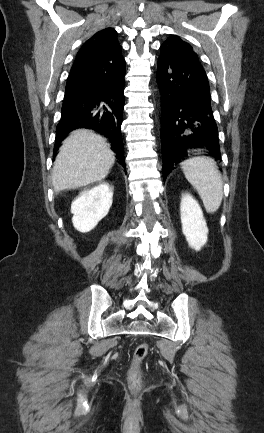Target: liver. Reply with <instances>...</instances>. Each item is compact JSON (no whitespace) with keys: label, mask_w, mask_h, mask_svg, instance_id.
Wrapping results in <instances>:
<instances>
[{"label":"liver","mask_w":264,"mask_h":433,"mask_svg":"<svg viewBox=\"0 0 264 433\" xmlns=\"http://www.w3.org/2000/svg\"><path fill=\"white\" fill-rule=\"evenodd\" d=\"M115 162L114 153L100 135L85 129L73 131L56 156L54 191L76 189L103 180Z\"/></svg>","instance_id":"obj_1"}]
</instances>
